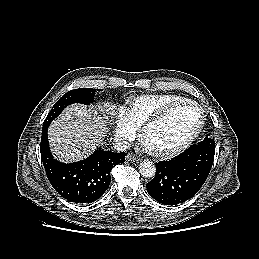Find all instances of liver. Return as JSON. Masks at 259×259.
I'll return each instance as SVG.
<instances>
[{
  "mask_svg": "<svg viewBox=\"0 0 259 259\" xmlns=\"http://www.w3.org/2000/svg\"><path fill=\"white\" fill-rule=\"evenodd\" d=\"M106 117L82 105H71L48 130L52 151L62 162L79 161L101 146Z\"/></svg>",
  "mask_w": 259,
  "mask_h": 259,
  "instance_id": "liver-1",
  "label": "liver"
}]
</instances>
